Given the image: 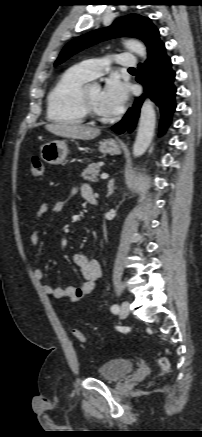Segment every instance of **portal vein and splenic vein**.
Returning <instances> with one entry per match:
<instances>
[{
  "mask_svg": "<svg viewBox=\"0 0 202 437\" xmlns=\"http://www.w3.org/2000/svg\"><path fill=\"white\" fill-rule=\"evenodd\" d=\"M107 178H108V174L106 173L101 174V179H107Z\"/></svg>",
  "mask_w": 202,
  "mask_h": 437,
  "instance_id": "18ae733b",
  "label": "portal vein and splenic vein"
}]
</instances>
